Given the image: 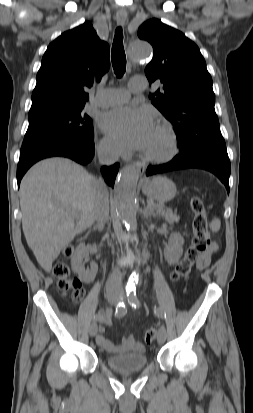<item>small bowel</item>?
<instances>
[{"label": "small bowel", "mask_w": 253, "mask_h": 413, "mask_svg": "<svg viewBox=\"0 0 253 413\" xmlns=\"http://www.w3.org/2000/svg\"><path fill=\"white\" fill-rule=\"evenodd\" d=\"M217 251V244L211 243L208 249L204 252L201 259L197 263V269L202 270L206 268L211 261L212 255ZM104 321L109 324L110 321L108 318H105ZM105 328L100 327L99 334L96 338L98 345L110 353H118L123 351H138L142 349L141 344L135 339L134 335L127 333L121 345H116L111 340L105 337Z\"/></svg>", "instance_id": "obj_1"}]
</instances>
